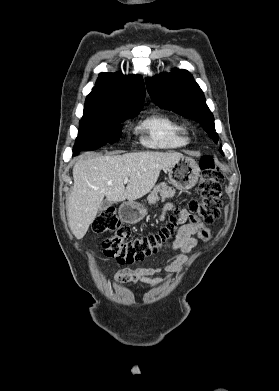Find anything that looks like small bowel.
Returning <instances> with one entry per match:
<instances>
[{
	"label": "small bowel",
	"instance_id": "small-bowel-1",
	"mask_svg": "<svg viewBox=\"0 0 279 391\" xmlns=\"http://www.w3.org/2000/svg\"><path fill=\"white\" fill-rule=\"evenodd\" d=\"M174 205L168 203L162 212L161 219L165 218L168 211L172 210ZM188 214L183 212L178 219L179 230L172 245L173 251H180V254L164 268H124L116 273V279L119 281L131 282L134 285L145 284L149 287H155L163 282L161 278H152L154 274L160 273L162 270L174 273L184 265L187 260V253L197 246V239L195 235L198 233L200 226L196 223L187 222Z\"/></svg>",
	"mask_w": 279,
	"mask_h": 391
}]
</instances>
